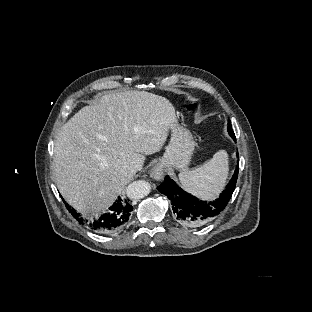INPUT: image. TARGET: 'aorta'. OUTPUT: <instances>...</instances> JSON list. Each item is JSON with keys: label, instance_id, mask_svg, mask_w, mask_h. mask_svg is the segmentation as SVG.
I'll return each mask as SVG.
<instances>
[{"label": "aorta", "instance_id": "762f6f07", "mask_svg": "<svg viewBox=\"0 0 312 312\" xmlns=\"http://www.w3.org/2000/svg\"><path fill=\"white\" fill-rule=\"evenodd\" d=\"M150 192V185L146 181H134L126 187L127 197L130 200H139Z\"/></svg>", "mask_w": 312, "mask_h": 312}]
</instances>
